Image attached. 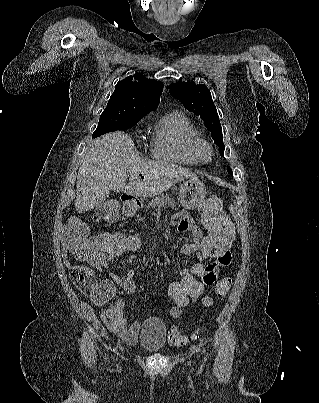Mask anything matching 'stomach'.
Segmentation results:
<instances>
[{
  "mask_svg": "<svg viewBox=\"0 0 319 403\" xmlns=\"http://www.w3.org/2000/svg\"><path fill=\"white\" fill-rule=\"evenodd\" d=\"M205 196L206 187L198 178H189L180 187L179 201L188 210L197 208Z\"/></svg>",
  "mask_w": 319,
  "mask_h": 403,
  "instance_id": "0dacf381",
  "label": "stomach"
}]
</instances>
